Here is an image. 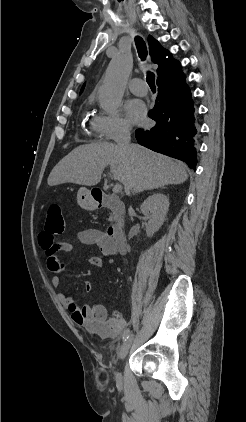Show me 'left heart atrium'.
Returning a JSON list of instances; mask_svg holds the SVG:
<instances>
[{"instance_id": "1", "label": "left heart atrium", "mask_w": 246, "mask_h": 422, "mask_svg": "<svg viewBox=\"0 0 246 422\" xmlns=\"http://www.w3.org/2000/svg\"><path fill=\"white\" fill-rule=\"evenodd\" d=\"M126 110L132 122L142 124L145 121L146 108L142 101L136 99L130 100L126 105Z\"/></svg>"}]
</instances>
